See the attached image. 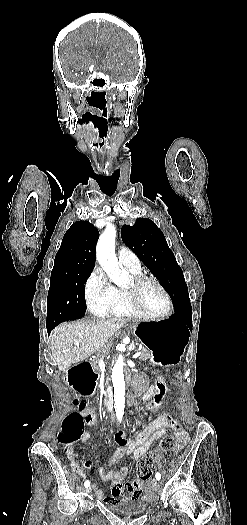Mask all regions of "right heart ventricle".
Listing matches in <instances>:
<instances>
[{"instance_id":"1","label":"right heart ventricle","mask_w":247,"mask_h":525,"mask_svg":"<svg viewBox=\"0 0 247 525\" xmlns=\"http://www.w3.org/2000/svg\"><path fill=\"white\" fill-rule=\"evenodd\" d=\"M123 268L129 275V280L132 277H139L142 273L139 267L138 260L135 265L123 264ZM118 292V291H117ZM103 317H146L140 313L136 307L129 305L113 304V306L103 315Z\"/></svg>"}]
</instances>
